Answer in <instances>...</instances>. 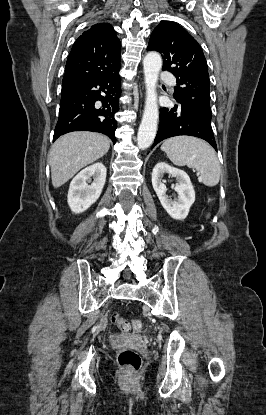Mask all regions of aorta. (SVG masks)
Masks as SVG:
<instances>
[{"label":"aorta","instance_id":"1","mask_svg":"<svg viewBox=\"0 0 266 415\" xmlns=\"http://www.w3.org/2000/svg\"><path fill=\"white\" fill-rule=\"evenodd\" d=\"M143 67L146 85V101L142 121L137 134V144L140 149H147L154 141L159 119L156 85L162 67L161 56L156 52L147 53L143 60Z\"/></svg>","mask_w":266,"mask_h":415}]
</instances>
